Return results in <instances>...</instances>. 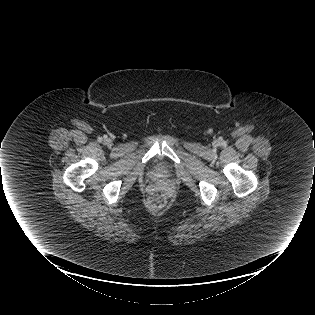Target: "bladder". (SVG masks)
Wrapping results in <instances>:
<instances>
[{"label": "bladder", "instance_id": "bladder-1", "mask_svg": "<svg viewBox=\"0 0 315 315\" xmlns=\"http://www.w3.org/2000/svg\"><path fill=\"white\" fill-rule=\"evenodd\" d=\"M153 174L155 176H158V177H165V176H167L168 171H167V169L164 166H157L154 169Z\"/></svg>", "mask_w": 315, "mask_h": 315}]
</instances>
